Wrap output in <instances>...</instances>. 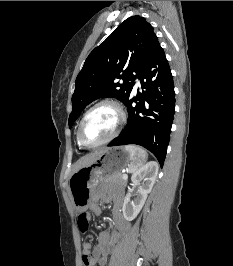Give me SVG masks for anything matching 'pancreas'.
<instances>
[{"label":"pancreas","instance_id":"1","mask_svg":"<svg viewBox=\"0 0 233 266\" xmlns=\"http://www.w3.org/2000/svg\"><path fill=\"white\" fill-rule=\"evenodd\" d=\"M105 182H107V183H115V184L120 185V186L126 185V180H124L122 178V174L121 173H115V174L107 175L106 178H105Z\"/></svg>","mask_w":233,"mask_h":266}]
</instances>
